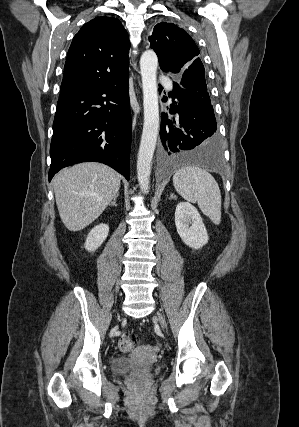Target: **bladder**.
Listing matches in <instances>:
<instances>
[{"label": "bladder", "instance_id": "31cf9c89", "mask_svg": "<svg viewBox=\"0 0 299 427\" xmlns=\"http://www.w3.org/2000/svg\"><path fill=\"white\" fill-rule=\"evenodd\" d=\"M137 363L128 356L117 355L111 360V371L113 374L123 376L137 367ZM158 366L155 367L157 369Z\"/></svg>", "mask_w": 299, "mask_h": 427}]
</instances>
